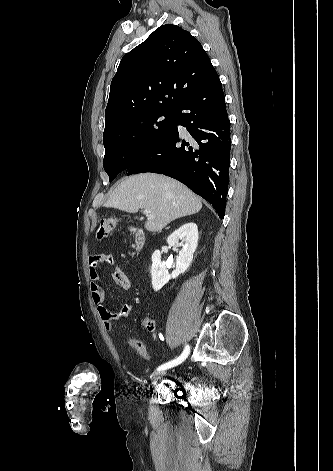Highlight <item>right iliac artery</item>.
Instances as JSON below:
<instances>
[{"label":"right iliac artery","mask_w":333,"mask_h":471,"mask_svg":"<svg viewBox=\"0 0 333 471\" xmlns=\"http://www.w3.org/2000/svg\"><path fill=\"white\" fill-rule=\"evenodd\" d=\"M189 352H190V347L188 345H186L185 348H184V351L182 352V354L178 358L159 366L158 370L168 369V368L174 367V366L182 363L187 358V356L189 355Z\"/></svg>","instance_id":"82829eb1"}]
</instances>
